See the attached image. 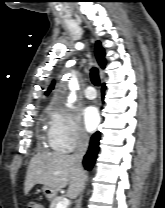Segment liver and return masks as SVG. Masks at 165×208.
<instances>
[{
	"label": "liver",
	"mask_w": 165,
	"mask_h": 208,
	"mask_svg": "<svg viewBox=\"0 0 165 208\" xmlns=\"http://www.w3.org/2000/svg\"><path fill=\"white\" fill-rule=\"evenodd\" d=\"M86 173L70 155L37 153L27 169L24 193L27 195L36 184L59 191L69 184L67 195L76 198L85 186Z\"/></svg>",
	"instance_id": "1"
}]
</instances>
